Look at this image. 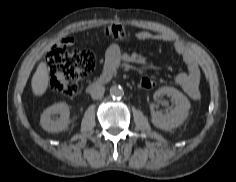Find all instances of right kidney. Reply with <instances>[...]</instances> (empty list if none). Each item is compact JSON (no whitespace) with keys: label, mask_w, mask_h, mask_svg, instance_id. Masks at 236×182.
Listing matches in <instances>:
<instances>
[{"label":"right kidney","mask_w":236,"mask_h":182,"mask_svg":"<svg viewBox=\"0 0 236 182\" xmlns=\"http://www.w3.org/2000/svg\"><path fill=\"white\" fill-rule=\"evenodd\" d=\"M69 116V106L66 103H56L42 113L40 124L48 132H61L68 127Z\"/></svg>","instance_id":"ca27d5eb"}]
</instances>
